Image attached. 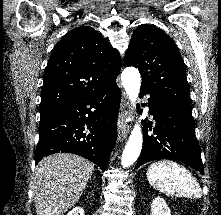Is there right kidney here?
Returning a JSON list of instances; mask_svg holds the SVG:
<instances>
[{"label":"right kidney","mask_w":221,"mask_h":215,"mask_svg":"<svg viewBox=\"0 0 221 215\" xmlns=\"http://www.w3.org/2000/svg\"><path fill=\"white\" fill-rule=\"evenodd\" d=\"M67 215H85L84 210L81 207H75Z\"/></svg>","instance_id":"ca27d5eb"}]
</instances>
